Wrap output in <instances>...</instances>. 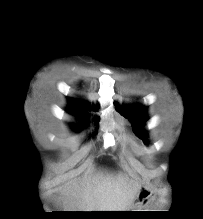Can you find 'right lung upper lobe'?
I'll return each instance as SVG.
<instances>
[{
	"label": "right lung upper lobe",
	"instance_id": "right-lung-upper-lobe-1",
	"mask_svg": "<svg viewBox=\"0 0 203 219\" xmlns=\"http://www.w3.org/2000/svg\"><path fill=\"white\" fill-rule=\"evenodd\" d=\"M70 102L72 104H78V101H75L74 99H70ZM81 106L85 107L86 109H89V105H87L86 103L81 104Z\"/></svg>",
	"mask_w": 203,
	"mask_h": 219
}]
</instances>
